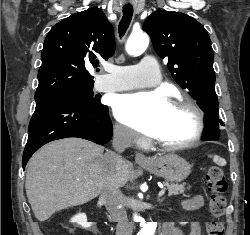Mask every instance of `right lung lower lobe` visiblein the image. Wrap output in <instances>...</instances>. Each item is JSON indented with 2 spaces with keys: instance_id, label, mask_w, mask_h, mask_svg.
Listing matches in <instances>:
<instances>
[{
  "instance_id": "obj_1",
  "label": "right lung lower lobe",
  "mask_w": 250,
  "mask_h": 235,
  "mask_svg": "<svg viewBox=\"0 0 250 235\" xmlns=\"http://www.w3.org/2000/svg\"><path fill=\"white\" fill-rule=\"evenodd\" d=\"M112 136V123L105 105H93L74 98H40L30 120L23 168L44 144L67 137H78L104 144Z\"/></svg>"
}]
</instances>
